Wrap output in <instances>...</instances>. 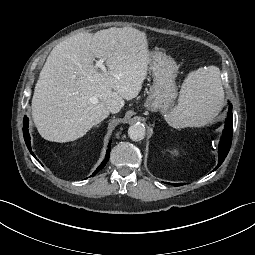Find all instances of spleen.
Instances as JSON below:
<instances>
[{
	"label": "spleen",
	"instance_id": "1",
	"mask_svg": "<svg viewBox=\"0 0 255 255\" xmlns=\"http://www.w3.org/2000/svg\"><path fill=\"white\" fill-rule=\"evenodd\" d=\"M223 100L219 68H199L190 72L184 80L178 104L165 120L173 128L204 126L219 112Z\"/></svg>",
	"mask_w": 255,
	"mask_h": 255
}]
</instances>
